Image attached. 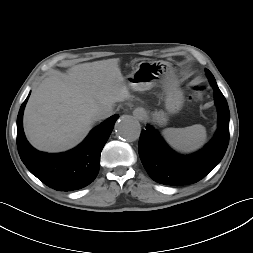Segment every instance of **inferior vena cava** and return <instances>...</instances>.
Wrapping results in <instances>:
<instances>
[{
	"label": "inferior vena cava",
	"instance_id": "602c4592",
	"mask_svg": "<svg viewBox=\"0 0 253 253\" xmlns=\"http://www.w3.org/2000/svg\"><path fill=\"white\" fill-rule=\"evenodd\" d=\"M113 114V107H103L96 110L93 114L94 118L97 120L106 119Z\"/></svg>",
	"mask_w": 253,
	"mask_h": 253
}]
</instances>
